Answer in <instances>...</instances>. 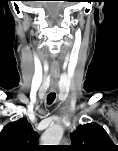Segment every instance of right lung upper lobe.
<instances>
[{
    "instance_id": "obj_1",
    "label": "right lung upper lobe",
    "mask_w": 118,
    "mask_h": 151,
    "mask_svg": "<svg viewBox=\"0 0 118 151\" xmlns=\"http://www.w3.org/2000/svg\"><path fill=\"white\" fill-rule=\"evenodd\" d=\"M38 134L23 118L7 124L0 133V151H35Z\"/></svg>"
}]
</instances>
